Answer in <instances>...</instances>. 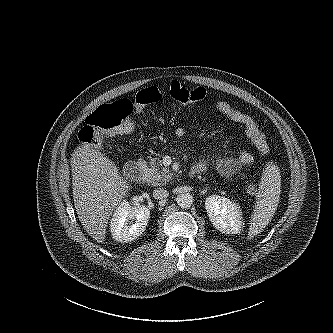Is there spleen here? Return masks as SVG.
<instances>
[{
    "instance_id": "obj_1",
    "label": "spleen",
    "mask_w": 333,
    "mask_h": 333,
    "mask_svg": "<svg viewBox=\"0 0 333 333\" xmlns=\"http://www.w3.org/2000/svg\"><path fill=\"white\" fill-rule=\"evenodd\" d=\"M280 193V169L277 165L269 162L263 169L259 183V191L248 231L249 239L261 233L269 224L278 206Z\"/></svg>"
}]
</instances>
